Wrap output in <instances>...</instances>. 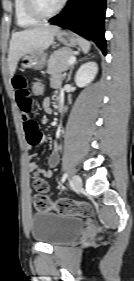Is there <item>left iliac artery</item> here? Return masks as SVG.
<instances>
[{"label":"left iliac artery","mask_w":134,"mask_h":281,"mask_svg":"<svg viewBox=\"0 0 134 281\" xmlns=\"http://www.w3.org/2000/svg\"><path fill=\"white\" fill-rule=\"evenodd\" d=\"M67 177H68V174L64 173L62 176V179H61L62 183L67 179Z\"/></svg>","instance_id":"1"}]
</instances>
